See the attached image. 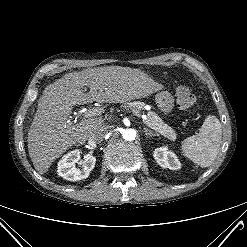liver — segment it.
I'll use <instances>...</instances> for the list:
<instances>
[{
  "mask_svg": "<svg viewBox=\"0 0 247 247\" xmlns=\"http://www.w3.org/2000/svg\"><path fill=\"white\" fill-rule=\"evenodd\" d=\"M90 91L85 93L83 87ZM156 82L129 67L108 66L68 73L48 85L28 131V152L35 169L44 174L70 147L83 143L103 124L101 118L69 121L74 106L93 101L124 103L144 98L159 90Z\"/></svg>",
  "mask_w": 247,
  "mask_h": 247,
  "instance_id": "liver-1",
  "label": "liver"
}]
</instances>
